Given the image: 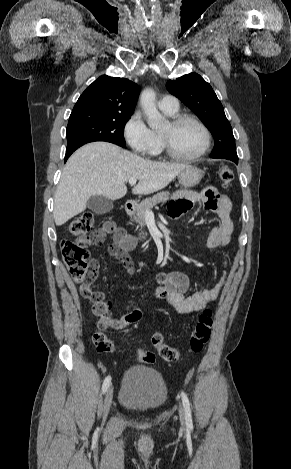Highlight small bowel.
<instances>
[{"label":"small bowel","instance_id":"obj_1","mask_svg":"<svg viewBox=\"0 0 291 469\" xmlns=\"http://www.w3.org/2000/svg\"><path fill=\"white\" fill-rule=\"evenodd\" d=\"M194 202H201L206 210L215 213L219 218V224L214 226L208 235L206 246L210 249H216L227 245L234 229L231 219L232 205L230 200L214 187H207L200 192L178 191L169 204L170 217L173 219L180 218L191 208ZM101 232L102 238L92 244H101L105 236L110 234L114 238L113 246L119 248L127 257V253L136 246L135 237L128 234L124 228L117 226L114 222H106ZM92 263L97 268V261L93 260ZM225 266L226 269L215 286L196 291L189 296L186 295L190 287L187 274L181 271L160 272L156 275V286L153 289V295L157 298L167 299L179 314L199 311L216 300L222 288L227 284L230 276L227 262ZM140 318V311L131 303L126 314L113 320L112 328L115 330L124 329L139 321Z\"/></svg>","mask_w":291,"mask_h":469}]
</instances>
